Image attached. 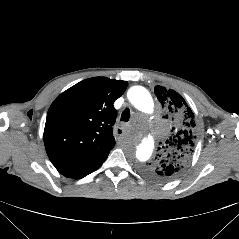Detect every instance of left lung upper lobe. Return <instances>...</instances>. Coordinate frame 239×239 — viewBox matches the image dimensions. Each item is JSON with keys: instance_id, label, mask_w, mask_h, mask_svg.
<instances>
[{"instance_id": "obj_1", "label": "left lung upper lobe", "mask_w": 239, "mask_h": 239, "mask_svg": "<svg viewBox=\"0 0 239 239\" xmlns=\"http://www.w3.org/2000/svg\"><path fill=\"white\" fill-rule=\"evenodd\" d=\"M165 118L172 121V135L166 140L155 160L142 168L148 178L167 182L180 176L188 166L196 143L195 117L184 98L172 89L155 87Z\"/></svg>"}]
</instances>
